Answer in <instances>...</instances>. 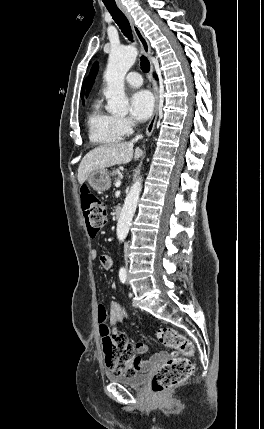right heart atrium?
<instances>
[{"label": "right heart atrium", "mask_w": 264, "mask_h": 429, "mask_svg": "<svg viewBox=\"0 0 264 429\" xmlns=\"http://www.w3.org/2000/svg\"><path fill=\"white\" fill-rule=\"evenodd\" d=\"M118 125L124 135H129L133 131L134 124L127 117H118Z\"/></svg>", "instance_id": "right-heart-atrium-1"}]
</instances>
